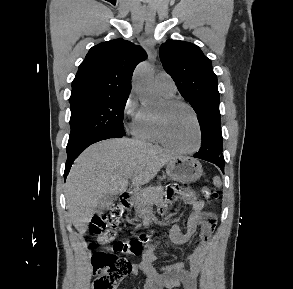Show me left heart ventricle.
Masks as SVG:
<instances>
[{
	"label": "left heart ventricle",
	"mask_w": 293,
	"mask_h": 289,
	"mask_svg": "<svg viewBox=\"0 0 293 289\" xmlns=\"http://www.w3.org/2000/svg\"><path fill=\"white\" fill-rule=\"evenodd\" d=\"M155 113L162 117L164 132L171 144L180 149H190L196 144V124L186 107L167 108L162 103Z\"/></svg>",
	"instance_id": "left-heart-ventricle-1"
}]
</instances>
